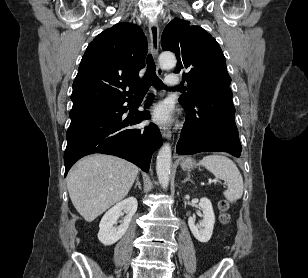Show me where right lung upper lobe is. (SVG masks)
Wrapping results in <instances>:
<instances>
[{
	"mask_svg": "<svg viewBox=\"0 0 308 278\" xmlns=\"http://www.w3.org/2000/svg\"><path fill=\"white\" fill-rule=\"evenodd\" d=\"M146 52V37L135 24L118 23L100 33L80 62L73 82L70 117L133 98L138 73L145 67Z\"/></svg>",
	"mask_w": 308,
	"mask_h": 278,
	"instance_id": "cb5924a9",
	"label": "right lung upper lobe"
}]
</instances>
